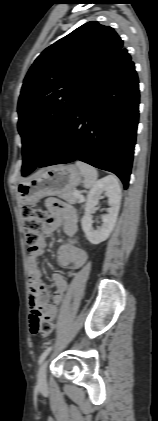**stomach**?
Returning <instances> with one entry per match:
<instances>
[{
  "label": "stomach",
  "mask_w": 158,
  "mask_h": 421,
  "mask_svg": "<svg viewBox=\"0 0 158 421\" xmlns=\"http://www.w3.org/2000/svg\"><path fill=\"white\" fill-rule=\"evenodd\" d=\"M82 182V173L74 165L45 168L22 182L18 194L23 204L34 205L45 196L62 195Z\"/></svg>",
  "instance_id": "0dacf381"
}]
</instances>
